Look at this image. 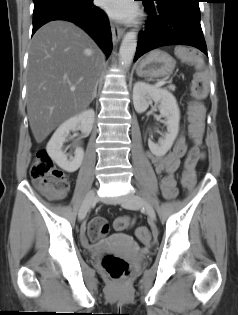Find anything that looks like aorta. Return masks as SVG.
I'll use <instances>...</instances> for the list:
<instances>
[{"label": "aorta", "instance_id": "obj_1", "mask_svg": "<svg viewBox=\"0 0 238 315\" xmlns=\"http://www.w3.org/2000/svg\"><path fill=\"white\" fill-rule=\"evenodd\" d=\"M137 47V35L135 32H127L122 40L119 57L120 64L124 69L130 67L132 60L134 58Z\"/></svg>", "mask_w": 238, "mask_h": 315}]
</instances>
